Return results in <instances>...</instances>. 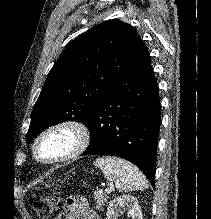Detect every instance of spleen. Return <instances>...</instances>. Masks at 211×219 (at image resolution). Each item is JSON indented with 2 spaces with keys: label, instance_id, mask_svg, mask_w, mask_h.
<instances>
[{
  "label": "spleen",
  "instance_id": "spleen-1",
  "mask_svg": "<svg viewBox=\"0 0 211 219\" xmlns=\"http://www.w3.org/2000/svg\"><path fill=\"white\" fill-rule=\"evenodd\" d=\"M94 165L102 170L106 178L115 183L120 192L144 190L148 182L139 169L130 162L113 157H101Z\"/></svg>",
  "mask_w": 211,
  "mask_h": 219
}]
</instances>
